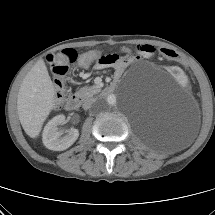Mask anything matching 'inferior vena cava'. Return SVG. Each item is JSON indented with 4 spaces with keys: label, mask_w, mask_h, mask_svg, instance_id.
Instances as JSON below:
<instances>
[{
    "label": "inferior vena cava",
    "mask_w": 215,
    "mask_h": 215,
    "mask_svg": "<svg viewBox=\"0 0 215 215\" xmlns=\"http://www.w3.org/2000/svg\"><path fill=\"white\" fill-rule=\"evenodd\" d=\"M97 101L95 99H87L83 103V108L84 109H89L92 106H97Z\"/></svg>",
    "instance_id": "1"
}]
</instances>
